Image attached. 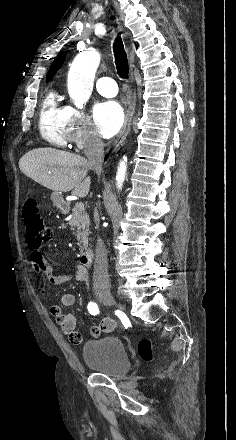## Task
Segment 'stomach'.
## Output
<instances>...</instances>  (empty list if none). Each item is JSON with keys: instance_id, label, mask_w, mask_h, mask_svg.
<instances>
[{"instance_id": "obj_1", "label": "stomach", "mask_w": 236, "mask_h": 440, "mask_svg": "<svg viewBox=\"0 0 236 440\" xmlns=\"http://www.w3.org/2000/svg\"><path fill=\"white\" fill-rule=\"evenodd\" d=\"M51 200L53 201L54 206H56L60 211L66 212L67 206L61 192H53L51 195Z\"/></svg>"}]
</instances>
